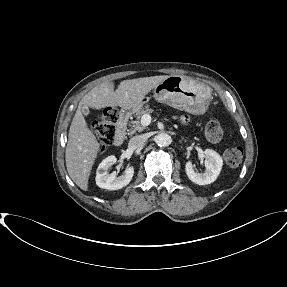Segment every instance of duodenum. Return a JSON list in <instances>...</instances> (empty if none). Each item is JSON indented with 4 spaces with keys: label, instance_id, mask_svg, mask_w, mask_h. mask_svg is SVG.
<instances>
[{
    "label": "duodenum",
    "instance_id": "410a0bca",
    "mask_svg": "<svg viewBox=\"0 0 287 287\" xmlns=\"http://www.w3.org/2000/svg\"><path fill=\"white\" fill-rule=\"evenodd\" d=\"M128 121H129L128 113L126 111L121 113L114 137V143L116 146H120L126 138Z\"/></svg>",
    "mask_w": 287,
    "mask_h": 287
}]
</instances>
